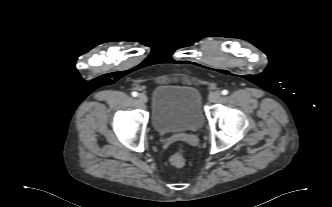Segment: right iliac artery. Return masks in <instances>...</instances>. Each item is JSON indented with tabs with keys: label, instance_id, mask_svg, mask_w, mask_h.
Instances as JSON below:
<instances>
[{
	"label": "right iliac artery",
	"instance_id": "right-iliac-artery-1",
	"mask_svg": "<svg viewBox=\"0 0 332 207\" xmlns=\"http://www.w3.org/2000/svg\"><path fill=\"white\" fill-rule=\"evenodd\" d=\"M132 96H133V97H137V96H138V93L134 91V92H132Z\"/></svg>",
	"mask_w": 332,
	"mask_h": 207
}]
</instances>
